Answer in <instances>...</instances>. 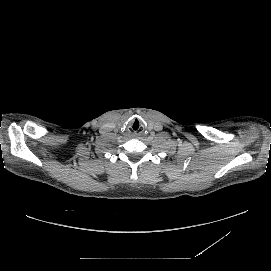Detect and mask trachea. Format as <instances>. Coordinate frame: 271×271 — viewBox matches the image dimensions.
I'll return each mask as SVG.
<instances>
[{
    "label": "trachea",
    "mask_w": 271,
    "mask_h": 271,
    "mask_svg": "<svg viewBox=\"0 0 271 271\" xmlns=\"http://www.w3.org/2000/svg\"><path fill=\"white\" fill-rule=\"evenodd\" d=\"M130 127H131V129H133V130H138V129H140V127H141V122H140V120H138V119H133V120H131V122H130Z\"/></svg>",
    "instance_id": "obj_1"
}]
</instances>
